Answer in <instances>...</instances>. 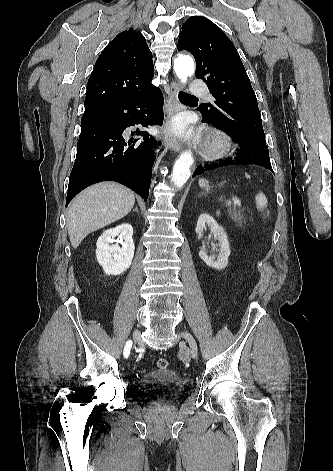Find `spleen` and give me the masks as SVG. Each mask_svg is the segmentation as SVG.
Listing matches in <instances>:
<instances>
[{"mask_svg":"<svg viewBox=\"0 0 333 471\" xmlns=\"http://www.w3.org/2000/svg\"><path fill=\"white\" fill-rule=\"evenodd\" d=\"M255 200L259 210H262L267 206V198L263 193H258L255 197Z\"/></svg>","mask_w":333,"mask_h":471,"instance_id":"1","label":"spleen"}]
</instances>
